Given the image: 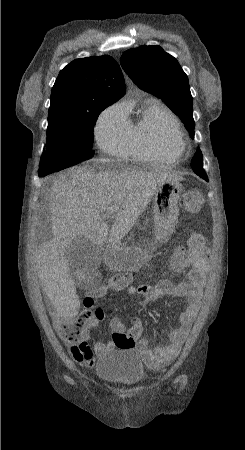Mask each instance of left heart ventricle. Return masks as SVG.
Returning a JSON list of instances; mask_svg holds the SVG:
<instances>
[{"instance_id":"b2bd125f","label":"left heart ventricle","mask_w":245,"mask_h":450,"mask_svg":"<svg viewBox=\"0 0 245 450\" xmlns=\"http://www.w3.org/2000/svg\"><path fill=\"white\" fill-rule=\"evenodd\" d=\"M161 127L164 128V130H165L167 136H168L170 139L174 140V131H173L172 127H171L168 123H166V122H164V121L161 122ZM174 143H175V141H174Z\"/></svg>"}]
</instances>
